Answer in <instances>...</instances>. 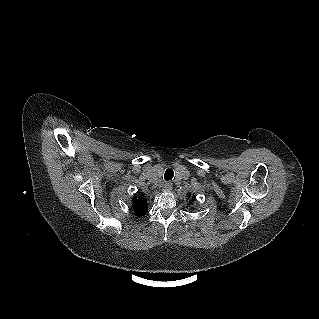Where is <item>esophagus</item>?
Instances as JSON below:
<instances>
[{
  "label": "esophagus",
  "mask_w": 319,
  "mask_h": 319,
  "mask_svg": "<svg viewBox=\"0 0 319 319\" xmlns=\"http://www.w3.org/2000/svg\"><path fill=\"white\" fill-rule=\"evenodd\" d=\"M162 190L167 192L172 190V183L171 182L165 183Z\"/></svg>",
  "instance_id": "obj_1"
}]
</instances>
